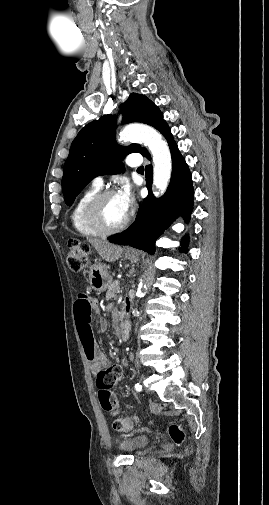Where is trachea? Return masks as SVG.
<instances>
[{
    "instance_id": "obj_1",
    "label": "trachea",
    "mask_w": 269,
    "mask_h": 505,
    "mask_svg": "<svg viewBox=\"0 0 269 505\" xmlns=\"http://www.w3.org/2000/svg\"><path fill=\"white\" fill-rule=\"evenodd\" d=\"M137 170H138V171H144V167H143V166H141V167H139Z\"/></svg>"
}]
</instances>
